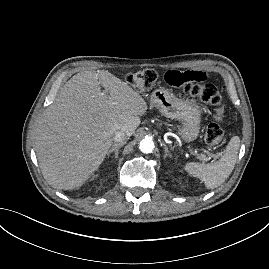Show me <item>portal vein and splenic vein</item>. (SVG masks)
<instances>
[{
    "instance_id": "18ae733b",
    "label": "portal vein and splenic vein",
    "mask_w": 269,
    "mask_h": 269,
    "mask_svg": "<svg viewBox=\"0 0 269 269\" xmlns=\"http://www.w3.org/2000/svg\"><path fill=\"white\" fill-rule=\"evenodd\" d=\"M190 153L193 154V155H198V154H197V151H192V150H190ZM215 158H217V156H216Z\"/></svg>"
}]
</instances>
